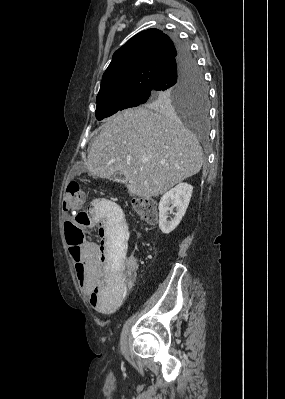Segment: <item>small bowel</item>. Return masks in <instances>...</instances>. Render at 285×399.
I'll return each mask as SVG.
<instances>
[{
    "label": "small bowel",
    "mask_w": 285,
    "mask_h": 399,
    "mask_svg": "<svg viewBox=\"0 0 285 399\" xmlns=\"http://www.w3.org/2000/svg\"><path fill=\"white\" fill-rule=\"evenodd\" d=\"M105 211H108L107 219L103 218ZM87 212L90 218L87 227L99 235L100 241L83 242L75 266L83 268L80 284L89 292L90 304L97 312L110 313L133 285L131 276L119 277L118 272L126 270L131 274L137 262L135 256L116 254L117 245L128 237V226L113 203L106 198H95Z\"/></svg>",
    "instance_id": "1"
}]
</instances>
